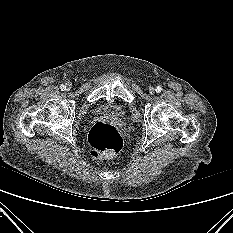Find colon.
Segmentation results:
<instances>
[{"label":"colon","mask_w":233,"mask_h":233,"mask_svg":"<svg viewBox=\"0 0 233 233\" xmlns=\"http://www.w3.org/2000/svg\"><path fill=\"white\" fill-rule=\"evenodd\" d=\"M88 142L94 157H114L123 147V139L111 124L99 121L89 131Z\"/></svg>","instance_id":"colon-1"}]
</instances>
